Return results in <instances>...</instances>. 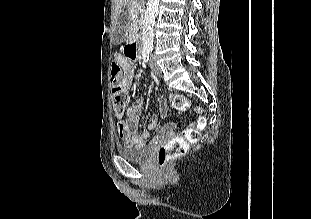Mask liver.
<instances>
[{
    "mask_svg": "<svg viewBox=\"0 0 311 219\" xmlns=\"http://www.w3.org/2000/svg\"><path fill=\"white\" fill-rule=\"evenodd\" d=\"M131 0H112L113 5V24L114 28L116 27L119 15L123 12V8L130 2Z\"/></svg>",
    "mask_w": 311,
    "mask_h": 219,
    "instance_id": "obj_1",
    "label": "liver"
}]
</instances>
